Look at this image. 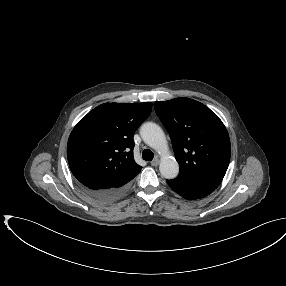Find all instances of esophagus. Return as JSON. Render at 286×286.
Returning a JSON list of instances; mask_svg holds the SVG:
<instances>
[{
  "label": "esophagus",
  "instance_id": "34e87169",
  "mask_svg": "<svg viewBox=\"0 0 286 286\" xmlns=\"http://www.w3.org/2000/svg\"><path fill=\"white\" fill-rule=\"evenodd\" d=\"M158 164H159V159L158 158H155L153 161H151V165L152 166H158Z\"/></svg>",
  "mask_w": 286,
  "mask_h": 286
}]
</instances>
